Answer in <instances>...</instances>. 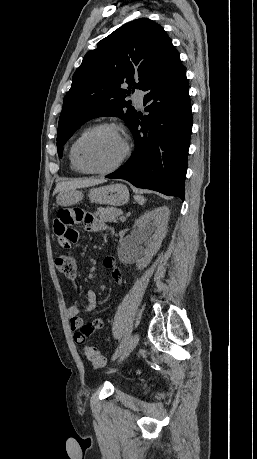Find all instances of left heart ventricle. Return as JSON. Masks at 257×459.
<instances>
[{
    "label": "left heart ventricle",
    "mask_w": 257,
    "mask_h": 459,
    "mask_svg": "<svg viewBox=\"0 0 257 459\" xmlns=\"http://www.w3.org/2000/svg\"><path fill=\"white\" fill-rule=\"evenodd\" d=\"M123 151L122 137L113 130L102 129L83 141L80 157L91 168H107L120 158Z\"/></svg>",
    "instance_id": "left-heart-ventricle-1"
}]
</instances>
